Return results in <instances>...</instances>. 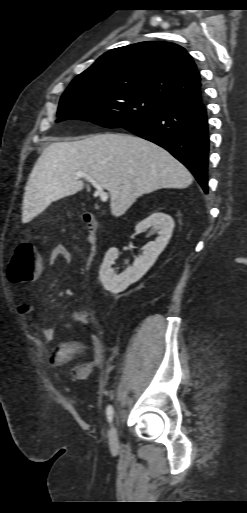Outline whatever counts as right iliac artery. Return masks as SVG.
<instances>
[{"mask_svg":"<svg viewBox=\"0 0 247 513\" xmlns=\"http://www.w3.org/2000/svg\"><path fill=\"white\" fill-rule=\"evenodd\" d=\"M106 414H107V419L109 422L112 421L113 419V407L111 405H109L106 409Z\"/></svg>","mask_w":247,"mask_h":513,"instance_id":"right-iliac-artery-1","label":"right iliac artery"}]
</instances>
